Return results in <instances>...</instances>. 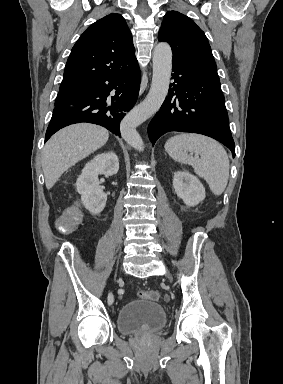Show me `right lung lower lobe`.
<instances>
[{
	"label": "right lung lower lobe",
	"mask_w": 283,
	"mask_h": 384,
	"mask_svg": "<svg viewBox=\"0 0 283 384\" xmlns=\"http://www.w3.org/2000/svg\"><path fill=\"white\" fill-rule=\"evenodd\" d=\"M140 80V69L136 65L128 72L80 88L72 99L54 108L45 141L59 129L81 122L101 125L120 137V122L136 103ZM112 90L115 95L109 98Z\"/></svg>",
	"instance_id": "obj_1"
}]
</instances>
